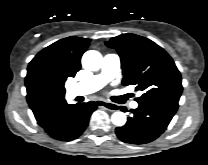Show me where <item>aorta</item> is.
Masks as SVG:
<instances>
[{
	"instance_id": "aorta-1",
	"label": "aorta",
	"mask_w": 208,
	"mask_h": 165,
	"mask_svg": "<svg viewBox=\"0 0 208 165\" xmlns=\"http://www.w3.org/2000/svg\"><path fill=\"white\" fill-rule=\"evenodd\" d=\"M102 55L95 50L86 51L82 57V66L89 71H97L102 66ZM111 121L116 126H123L126 123V115L116 111L111 116Z\"/></svg>"
}]
</instances>
